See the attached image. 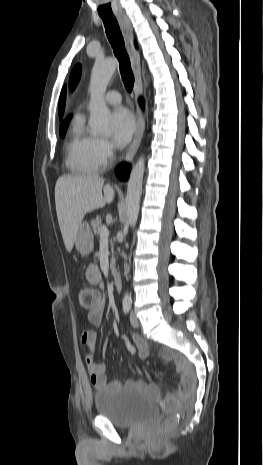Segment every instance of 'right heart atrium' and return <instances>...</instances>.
I'll use <instances>...</instances> for the list:
<instances>
[{
	"label": "right heart atrium",
	"instance_id": "obj_1",
	"mask_svg": "<svg viewBox=\"0 0 263 465\" xmlns=\"http://www.w3.org/2000/svg\"><path fill=\"white\" fill-rule=\"evenodd\" d=\"M97 154L100 160L106 164L114 155V145L106 138H98Z\"/></svg>",
	"mask_w": 263,
	"mask_h": 465
}]
</instances>
